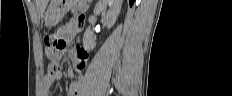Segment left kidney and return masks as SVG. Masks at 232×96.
<instances>
[{
	"mask_svg": "<svg viewBox=\"0 0 232 96\" xmlns=\"http://www.w3.org/2000/svg\"><path fill=\"white\" fill-rule=\"evenodd\" d=\"M122 0H99L94 8V14L99 15L101 13L102 18L106 21L107 28H111L120 13ZM109 6V11H106V7ZM96 38L88 27L83 35V46L87 51H91L95 48Z\"/></svg>",
	"mask_w": 232,
	"mask_h": 96,
	"instance_id": "5707ae66",
	"label": "left kidney"
}]
</instances>
